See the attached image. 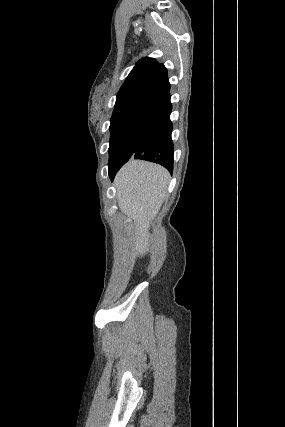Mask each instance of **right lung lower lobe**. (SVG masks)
Returning <instances> with one entry per match:
<instances>
[{
	"label": "right lung lower lobe",
	"mask_w": 285,
	"mask_h": 427,
	"mask_svg": "<svg viewBox=\"0 0 285 427\" xmlns=\"http://www.w3.org/2000/svg\"><path fill=\"white\" fill-rule=\"evenodd\" d=\"M171 110L172 104L168 98L146 113L140 136L142 143L132 157L158 163L172 173L174 146L171 139ZM119 169L109 171L112 180Z\"/></svg>",
	"instance_id": "1"
}]
</instances>
